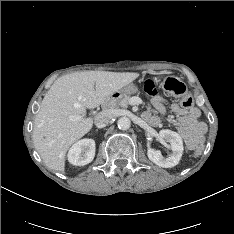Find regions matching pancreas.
I'll use <instances>...</instances> for the list:
<instances>
[{"label":"pancreas","mask_w":234,"mask_h":234,"mask_svg":"<svg viewBox=\"0 0 234 234\" xmlns=\"http://www.w3.org/2000/svg\"><path fill=\"white\" fill-rule=\"evenodd\" d=\"M130 96H123L116 102H109L106 104L107 108L114 109L116 107L127 108L129 105Z\"/></svg>","instance_id":"1"}]
</instances>
